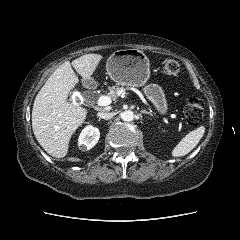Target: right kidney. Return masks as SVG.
I'll return each instance as SVG.
<instances>
[{"label":"right kidney","mask_w":240,"mask_h":240,"mask_svg":"<svg viewBox=\"0 0 240 240\" xmlns=\"http://www.w3.org/2000/svg\"><path fill=\"white\" fill-rule=\"evenodd\" d=\"M99 138V129L89 125L82 130L78 139V144L81 149L90 150L97 144Z\"/></svg>","instance_id":"1"}]
</instances>
